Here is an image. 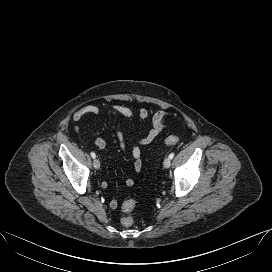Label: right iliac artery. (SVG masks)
Returning <instances> with one entry per match:
<instances>
[{"mask_svg":"<svg viewBox=\"0 0 272 272\" xmlns=\"http://www.w3.org/2000/svg\"><path fill=\"white\" fill-rule=\"evenodd\" d=\"M91 157H92V158H95V157H96V155H95L94 152H91Z\"/></svg>","mask_w":272,"mask_h":272,"instance_id":"right-iliac-artery-1","label":"right iliac artery"}]
</instances>
